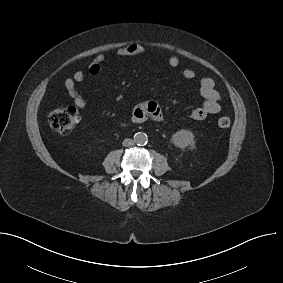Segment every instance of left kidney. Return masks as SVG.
Masks as SVG:
<instances>
[{"mask_svg": "<svg viewBox=\"0 0 283 283\" xmlns=\"http://www.w3.org/2000/svg\"><path fill=\"white\" fill-rule=\"evenodd\" d=\"M171 141L176 147L181 149H184L187 146L195 143L194 134L188 130H180L176 132L172 135Z\"/></svg>", "mask_w": 283, "mask_h": 283, "instance_id": "1", "label": "left kidney"}]
</instances>
